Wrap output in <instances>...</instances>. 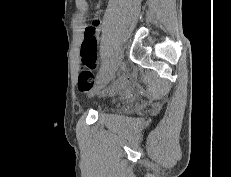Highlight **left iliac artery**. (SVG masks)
Listing matches in <instances>:
<instances>
[{"label":"left iliac artery","instance_id":"1","mask_svg":"<svg viewBox=\"0 0 231 177\" xmlns=\"http://www.w3.org/2000/svg\"><path fill=\"white\" fill-rule=\"evenodd\" d=\"M110 62V58H105L104 62H101V68L97 74V78H99L104 73V71H108V67H110Z\"/></svg>","mask_w":231,"mask_h":177}]
</instances>
